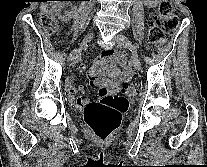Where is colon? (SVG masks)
<instances>
[{
    "mask_svg": "<svg viewBox=\"0 0 207 167\" xmlns=\"http://www.w3.org/2000/svg\"><path fill=\"white\" fill-rule=\"evenodd\" d=\"M41 24L46 32L52 34L58 29V23L52 8L45 4L41 9ZM179 24L169 0H161L157 15L149 23V43L152 47H161L165 42V33L173 32ZM119 62H124L123 54H118ZM138 88L135 83L125 82L118 95H104L90 103L84 110V121L99 140H107L120 125L121 116L128 110L129 99L136 97Z\"/></svg>",
    "mask_w": 207,
    "mask_h": 167,
    "instance_id": "5ec220e1",
    "label": "colon"
}]
</instances>
